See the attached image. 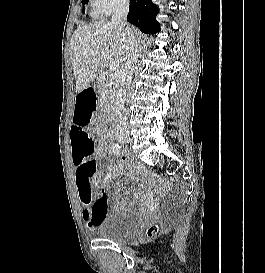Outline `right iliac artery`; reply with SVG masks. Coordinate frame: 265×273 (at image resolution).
<instances>
[{"mask_svg": "<svg viewBox=\"0 0 265 273\" xmlns=\"http://www.w3.org/2000/svg\"><path fill=\"white\" fill-rule=\"evenodd\" d=\"M111 150L115 155L121 154V147L118 144H113Z\"/></svg>", "mask_w": 265, "mask_h": 273, "instance_id": "obj_1", "label": "right iliac artery"}]
</instances>
